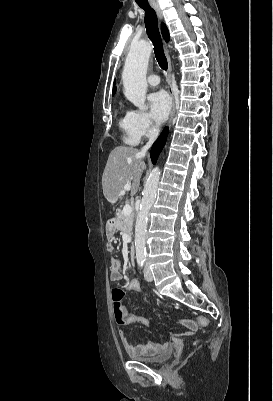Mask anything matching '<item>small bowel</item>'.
Instances as JSON below:
<instances>
[{"label": "small bowel", "mask_w": 273, "mask_h": 401, "mask_svg": "<svg viewBox=\"0 0 273 401\" xmlns=\"http://www.w3.org/2000/svg\"><path fill=\"white\" fill-rule=\"evenodd\" d=\"M121 265L122 264H121L120 259L113 258L111 260L109 278L112 282H117L121 279ZM122 308H123V311H124L125 317H126L125 324L139 323L144 326H149L148 320H146L145 318L133 315L124 305H122ZM183 335L186 338H189L191 336V333L189 331H186ZM171 336L173 338H176L178 336V333L176 331H173L171 333ZM121 340H122L124 347L129 351L130 355L133 357L155 355L158 352H160L161 350L166 349L168 347L167 342L146 343L143 345H132L129 343L125 331L121 332Z\"/></svg>", "instance_id": "small-bowel-1"}]
</instances>
